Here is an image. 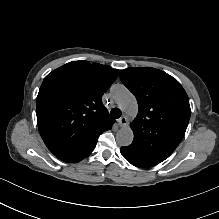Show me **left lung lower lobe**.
I'll list each match as a JSON object with an SVG mask.
<instances>
[{"mask_svg":"<svg viewBox=\"0 0 219 219\" xmlns=\"http://www.w3.org/2000/svg\"><path fill=\"white\" fill-rule=\"evenodd\" d=\"M122 156L132 165L140 168H148L159 164L160 162L151 159L130 146L121 147Z\"/></svg>","mask_w":219,"mask_h":219,"instance_id":"left-lung-lower-lobe-1","label":"left lung lower lobe"}]
</instances>
